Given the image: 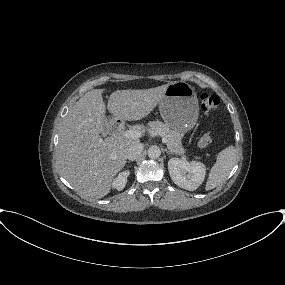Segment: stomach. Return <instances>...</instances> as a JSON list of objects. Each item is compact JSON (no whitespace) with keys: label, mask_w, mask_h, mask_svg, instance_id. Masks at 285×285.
Listing matches in <instances>:
<instances>
[{"label":"stomach","mask_w":285,"mask_h":285,"mask_svg":"<svg viewBox=\"0 0 285 285\" xmlns=\"http://www.w3.org/2000/svg\"><path fill=\"white\" fill-rule=\"evenodd\" d=\"M165 124L180 133L193 128L199 115V104L194 88L186 82L170 83L159 103Z\"/></svg>","instance_id":"1"}]
</instances>
